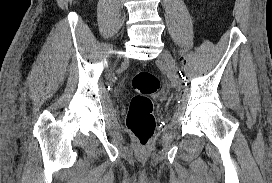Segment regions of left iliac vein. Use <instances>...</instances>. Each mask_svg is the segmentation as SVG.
<instances>
[{"label":"left iliac vein","mask_w":272,"mask_h":183,"mask_svg":"<svg viewBox=\"0 0 272 183\" xmlns=\"http://www.w3.org/2000/svg\"><path fill=\"white\" fill-rule=\"evenodd\" d=\"M159 61L164 63L170 78L174 79L179 85L181 82L178 78H176L177 66L172 55L168 51L164 50L160 55Z\"/></svg>","instance_id":"1"}]
</instances>
